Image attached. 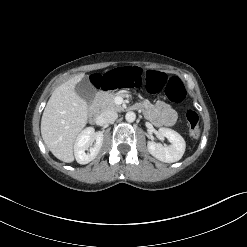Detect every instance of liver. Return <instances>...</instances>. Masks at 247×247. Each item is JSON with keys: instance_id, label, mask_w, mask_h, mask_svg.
<instances>
[{"instance_id": "liver-1", "label": "liver", "mask_w": 247, "mask_h": 247, "mask_svg": "<svg viewBox=\"0 0 247 247\" xmlns=\"http://www.w3.org/2000/svg\"><path fill=\"white\" fill-rule=\"evenodd\" d=\"M84 76L76 75L57 87L41 119L44 143L55 157L66 163L74 161L73 145L87 124L88 105L75 91Z\"/></svg>"}]
</instances>
